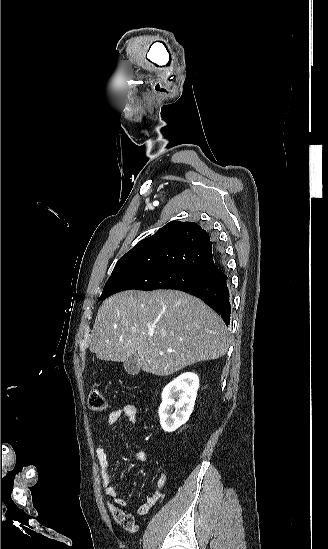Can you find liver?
Wrapping results in <instances>:
<instances>
[{
    "label": "liver",
    "instance_id": "liver-1",
    "mask_svg": "<svg viewBox=\"0 0 328 549\" xmlns=\"http://www.w3.org/2000/svg\"><path fill=\"white\" fill-rule=\"evenodd\" d=\"M228 329L201 299L182 291H123L103 301L90 351L101 361L123 363L138 353L142 371H176L226 355Z\"/></svg>",
    "mask_w": 328,
    "mask_h": 549
}]
</instances>
